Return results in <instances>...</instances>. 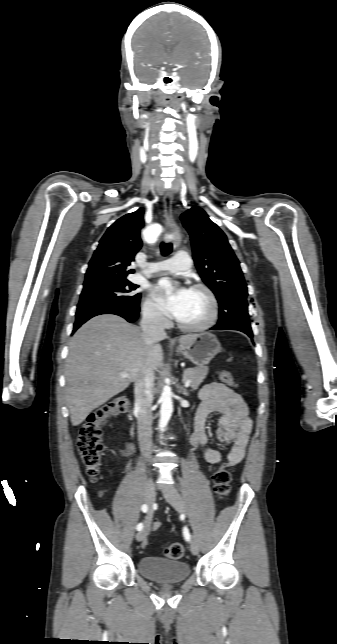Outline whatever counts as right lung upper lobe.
<instances>
[{
  "instance_id": "obj_1",
  "label": "right lung upper lobe",
  "mask_w": 337,
  "mask_h": 644,
  "mask_svg": "<svg viewBox=\"0 0 337 644\" xmlns=\"http://www.w3.org/2000/svg\"><path fill=\"white\" fill-rule=\"evenodd\" d=\"M143 210L138 209L118 219L106 231L95 250L85 275L94 279H126L127 267L142 246L140 230L144 226Z\"/></svg>"
}]
</instances>
